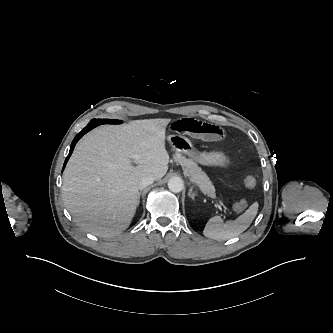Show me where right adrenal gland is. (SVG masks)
Here are the masks:
<instances>
[{
	"instance_id": "2a0ac1e0",
	"label": "right adrenal gland",
	"mask_w": 333,
	"mask_h": 333,
	"mask_svg": "<svg viewBox=\"0 0 333 333\" xmlns=\"http://www.w3.org/2000/svg\"><path fill=\"white\" fill-rule=\"evenodd\" d=\"M140 195H141V192L139 193L138 204H139V202H140V200H139V199H140Z\"/></svg>"
}]
</instances>
